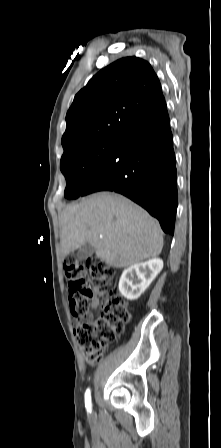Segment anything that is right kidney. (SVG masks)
Listing matches in <instances>:
<instances>
[{"mask_svg":"<svg viewBox=\"0 0 221 448\" xmlns=\"http://www.w3.org/2000/svg\"><path fill=\"white\" fill-rule=\"evenodd\" d=\"M163 268L159 258L134 264L125 269L119 280V291L128 300H136Z\"/></svg>","mask_w":221,"mask_h":448,"instance_id":"obj_1","label":"right kidney"}]
</instances>
